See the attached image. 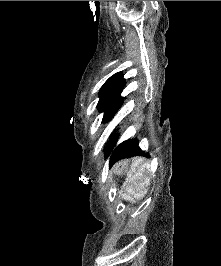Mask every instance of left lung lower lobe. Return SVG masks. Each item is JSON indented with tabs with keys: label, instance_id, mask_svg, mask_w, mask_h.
Wrapping results in <instances>:
<instances>
[{
	"label": "left lung lower lobe",
	"instance_id": "obj_1",
	"mask_svg": "<svg viewBox=\"0 0 221 266\" xmlns=\"http://www.w3.org/2000/svg\"><path fill=\"white\" fill-rule=\"evenodd\" d=\"M117 137H112L109 140L108 145L106 146L105 149V156L106 158L108 157V155H110L111 153V157H110V165H112L113 163L121 160V159H125V158H130L133 156H137V155H144V151H142L139 146H138V141L137 140H127L124 141L123 143L119 144L115 149V145L117 142ZM148 156V155H146Z\"/></svg>",
	"mask_w": 221,
	"mask_h": 266
}]
</instances>
